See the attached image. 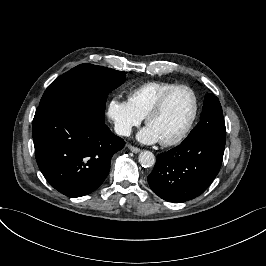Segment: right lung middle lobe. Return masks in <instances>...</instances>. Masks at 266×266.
<instances>
[{
    "label": "right lung middle lobe",
    "instance_id": "1",
    "mask_svg": "<svg viewBox=\"0 0 266 266\" xmlns=\"http://www.w3.org/2000/svg\"><path fill=\"white\" fill-rule=\"evenodd\" d=\"M126 73L110 68L84 63L54 80L43 94L40 104L58 97L71 96L92 103L100 113H105L110 91L125 81Z\"/></svg>",
    "mask_w": 266,
    "mask_h": 266
}]
</instances>
